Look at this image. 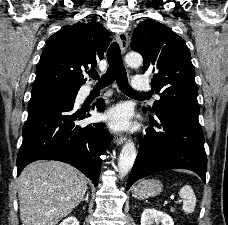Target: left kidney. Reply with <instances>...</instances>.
Returning <instances> with one entry per match:
<instances>
[{
	"label": "left kidney",
	"mask_w": 228,
	"mask_h": 225,
	"mask_svg": "<svg viewBox=\"0 0 228 225\" xmlns=\"http://www.w3.org/2000/svg\"><path fill=\"white\" fill-rule=\"evenodd\" d=\"M174 225L173 219L166 215V213H161V211H155V209H145L141 215V225Z\"/></svg>",
	"instance_id": "1"
}]
</instances>
